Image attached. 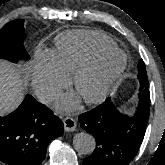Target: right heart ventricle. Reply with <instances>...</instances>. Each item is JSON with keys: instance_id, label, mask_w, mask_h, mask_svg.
Segmentation results:
<instances>
[{"instance_id": "right-heart-ventricle-1", "label": "right heart ventricle", "mask_w": 165, "mask_h": 165, "mask_svg": "<svg viewBox=\"0 0 165 165\" xmlns=\"http://www.w3.org/2000/svg\"><path fill=\"white\" fill-rule=\"evenodd\" d=\"M111 48H116L115 42L100 31L72 30L56 38L53 57L69 74L96 51Z\"/></svg>"}]
</instances>
